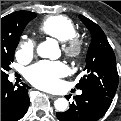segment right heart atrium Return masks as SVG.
<instances>
[{"mask_svg": "<svg viewBox=\"0 0 121 121\" xmlns=\"http://www.w3.org/2000/svg\"><path fill=\"white\" fill-rule=\"evenodd\" d=\"M36 50V43L33 39L27 38L21 41L16 51V56L20 59L27 60L33 57Z\"/></svg>", "mask_w": 121, "mask_h": 121, "instance_id": "d8ad5b80", "label": "right heart atrium"}]
</instances>
